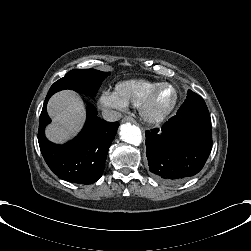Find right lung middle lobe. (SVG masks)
<instances>
[{
    "label": "right lung middle lobe",
    "instance_id": "right-lung-middle-lobe-1",
    "mask_svg": "<svg viewBox=\"0 0 251 251\" xmlns=\"http://www.w3.org/2000/svg\"><path fill=\"white\" fill-rule=\"evenodd\" d=\"M109 75L110 72L95 69L71 70L51 86L45 100H49L54 93L64 89H72L79 93L94 96L102 81Z\"/></svg>",
    "mask_w": 251,
    "mask_h": 251
}]
</instances>
